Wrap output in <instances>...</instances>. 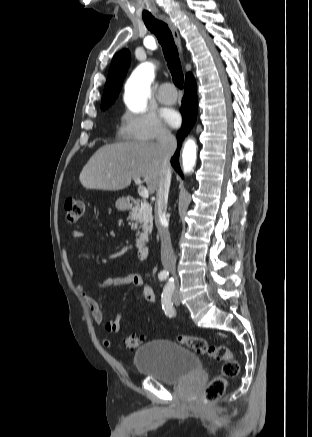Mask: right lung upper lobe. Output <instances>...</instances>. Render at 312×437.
Here are the masks:
<instances>
[{"label": "right lung upper lobe", "mask_w": 312, "mask_h": 437, "mask_svg": "<svg viewBox=\"0 0 312 437\" xmlns=\"http://www.w3.org/2000/svg\"><path fill=\"white\" fill-rule=\"evenodd\" d=\"M129 62L130 52L127 49L118 52L114 56L101 100L102 109L108 108L117 98L121 90L123 79L126 76ZM189 74L191 73H188L186 76Z\"/></svg>", "instance_id": "cb5924a9"}]
</instances>
